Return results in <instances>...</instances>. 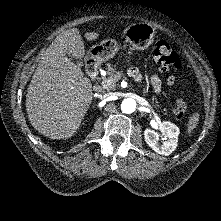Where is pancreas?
<instances>
[{
  "mask_svg": "<svg viewBox=\"0 0 221 221\" xmlns=\"http://www.w3.org/2000/svg\"><path fill=\"white\" fill-rule=\"evenodd\" d=\"M107 74H108V78L107 77H103V81H106L108 79L112 80V84L110 86H108L107 90H111L115 88L116 82L118 80L121 79L122 77V71H117V69L115 67H113L111 64L107 65ZM152 102L153 103H158L157 99L153 96L152 97ZM164 111H166V109H164Z\"/></svg>",
  "mask_w": 221,
  "mask_h": 221,
  "instance_id": "1",
  "label": "pancreas"
}]
</instances>
